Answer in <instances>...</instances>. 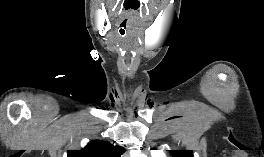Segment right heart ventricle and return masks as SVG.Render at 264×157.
<instances>
[{
    "label": "right heart ventricle",
    "mask_w": 264,
    "mask_h": 157,
    "mask_svg": "<svg viewBox=\"0 0 264 157\" xmlns=\"http://www.w3.org/2000/svg\"><path fill=\"white\" fill-rule=\"evenodd\" d=\"M152 157H166V156H164L163 154H160V153H155V154H153Z\"/></svg>",
    "instance_id": "right-heart-ventricle-1"
}]
</instances>
